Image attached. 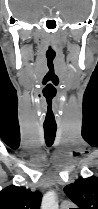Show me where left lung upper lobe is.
<instances>
[{"label":"left lung upper lobe","mask_w":98,"mask_h":209,"mask_svg":"<svg viewBox=\"0 0 98 209\" xmlns=\"http://www.w3.org/2000/svg\"><path fill=\"white\" fill-rule=\"evenodd\" d=\"M66 195L79 207L78 209H98V178H79L64 187Z\"/></svg>","instance_id":"1"}]
</instances>
